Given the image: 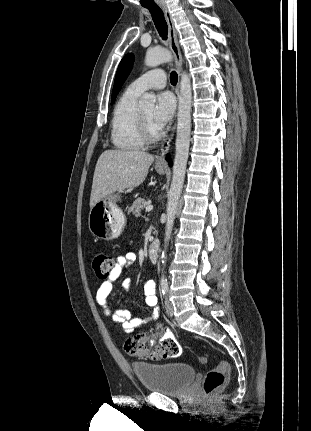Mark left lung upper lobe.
Returning a JSON list of instances; mask_svg holds the SVG:
<instances>
[{
    "label": "left lung upper lobe",
    "mask_w": 311,
    "mask_h": 431,
    "mask_svg": "<svg viewBox=\"0 0 311 431\" xmlns=\"http://www.w3.org/2000/svg\"><path fill=\"white\" fill-rule=\"evenodd\" d=\"M133 62H134V55L132 53L127 54L121 60L119 66H118V69H117L116 76H115L111 104L114 103L116 96L121 89V86L123 85L126 78L128 77V75L132 69Z\"/></svg>",
    "instance_id": "left-lung-upper-lobe-1"
}]
</instances>
